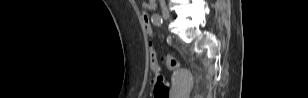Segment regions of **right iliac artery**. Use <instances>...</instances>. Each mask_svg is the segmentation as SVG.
<instances>
[{"mask_svg":"<svg viewBox=\"0 0 308 98\" xmlns=\"http://www.w3.org/2000/svg\"><path fill=\"white\" fill-rule=\"evenodd\" d=\"M151 20L152 23L157 26H160L163 23V19L159 14L152 15Z\"/></svg>","mask_w":308,"mask_h":98,"instance_id":"82829eb1","label":"right iliac artery"}]
</instances>
